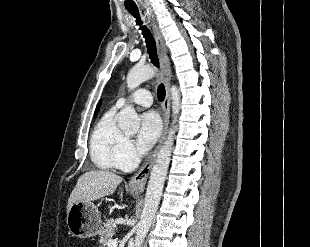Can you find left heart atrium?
<instances>
[{"label": "left heart atrium", "mask_w": 310, "mask_h": 247, "mask_svg": "<svg viewBox=\"0 0 310 247\" xmlns=\"http://www.w3.org/2000/svg\"><path fill=\"white\" fill-rule=\"evenodd\" d=\"M161 133V122L154 111H148L140 117V128L136 139L139 152H148L156 143Z\"/></svg>", "instance_id": "39dd6f15"}]
</instances>
